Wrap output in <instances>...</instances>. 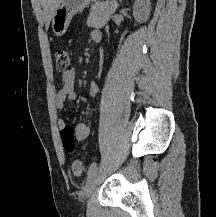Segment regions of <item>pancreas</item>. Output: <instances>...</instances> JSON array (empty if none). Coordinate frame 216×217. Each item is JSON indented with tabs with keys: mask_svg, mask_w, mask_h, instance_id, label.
<instances>
[{
	"mask_svg": "<svg viewBox=\"0 0 216 217\" xmlns=\"http://www.w3.org/2000/svg\"><path fill=\"white\" fill-rule=\"evenodd\" d=\"M118 3L113 2H103L96 3L91 7L90 14L87 19V26L94 28H102L110 20L111 15L115 12Z\"/></svg>",
	"mask_w": 216,
	"mask_h": 217,
	"instance_id": "1",
	"label": "pancreas"
}]
</instances>
